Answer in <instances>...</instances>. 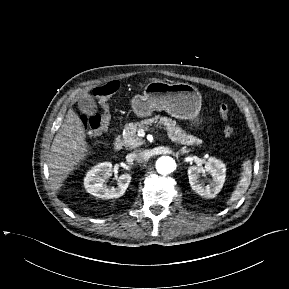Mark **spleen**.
<instances>
[{"instance_id": "obj_1", "label": "spleen", "mask_w": 289, "mask_h": 289, "mask_svg": "<svg viewBox=\"0 0 289 289\" xmlns=\"http://www.w3.org/2000/svg\"><path fill=\"white\" fill-rule=\"evenodd\" d=\"M243 171L241 172L240 179L232 192L230 199L227 201L228 205H232L234 202L238 201L244 193H246L252 177V165L251 161H245L243 163Z\"/></svg>"}]
</instances>
